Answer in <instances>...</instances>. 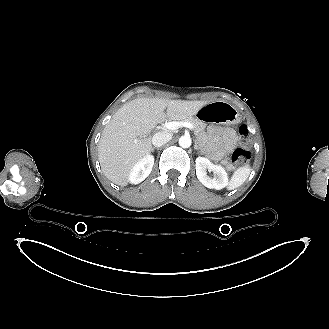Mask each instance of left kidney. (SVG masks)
Masks as SVG:
<instances>
[{"label": "left kidney", "mask_w": 329, "mask_h": 329, "mask_svg": "<svg viewBox=\"0 0 329 329\" xmlns=\"http://www.w3.org/2000/svg\"><path fill=\"white\" fill-rule=\"evenodd\" d=\"M212 171L213 178L207 175L206 171ZM196 175L199 181L210 189L220 190L228 185V174L221 165H215L205 157L196 158Z\"/></svg>", "instance_id": "1"}]
</instances>
